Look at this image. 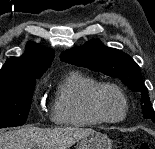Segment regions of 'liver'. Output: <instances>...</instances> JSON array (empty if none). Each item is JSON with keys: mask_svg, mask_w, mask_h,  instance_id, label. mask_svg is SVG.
I'll use <instances>...</instances> for the list:
<instances>
[{"mask_svg": "<svg viewBox=\"0 0 155 149\" xmlns=\"http://www.w3.org/2000/svg\"><path fill=\"white\" fill-rule=\"evenodd\" d=\"M93 129L62 127L40 129L26 126L8 132H0V149H69Z\"/></svg>", "mask_w": 155, "mask_h": 149, "instance_id": "1", "label": "liver"}]
</instances>
